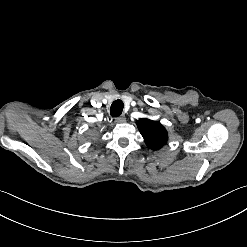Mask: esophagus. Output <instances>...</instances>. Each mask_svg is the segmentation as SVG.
Listing matches in <instances>:
<instances>
[{"label":"esophagus","instance_id":"1","mask_svg":"<svg viewBox=\"0 0 247 247\" xmlns=\"http://www.w3.org/2000/svg\"><path fill=\"white\" fill-rule=\"evenodd\" d=\"M126 122V117L124 115L122 116H119L117 119H116V123H124Z\"/></svg>","mask_w":247,"mask_h":247}]
</instances>
